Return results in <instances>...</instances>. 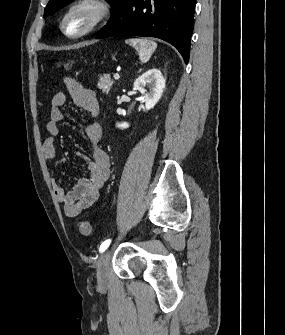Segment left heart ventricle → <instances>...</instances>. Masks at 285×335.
I'll list each match as a JSON object with an SVG mask.
<instances>
[{
	"mask_svg": "<svg viewBox=\"0 0 285 335\" xmlns=\"http://www.w3.org/2000/svg\"><path fill=\"white\" fill-rule=\"evenodd\" d=\"M94 15V11L89 8L82 9L77 12L78 20L80 21V24H86L90 22Z\"/></svg>",
	"mask_w": 285,
	"mask_h": 335,
	"instance_id": "obj_1",
	"label": "left heart ventricle"
}]
</instances>
